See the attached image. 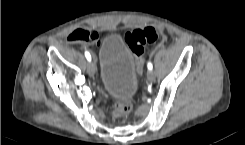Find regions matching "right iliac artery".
<instances>
[{
    "mask_svg": "<svg viewBox=\"0 0 245 145\" xmlns=\"http://www.w3.org/2000/svg\"><path fill=\"white\" fill-rule=\"evenodd\" d=\"M85 56H86L87 60L90 62L91 61V55H90V53L86 51L85 52Z\"/></svg>",
    "mask_w": 245,
    "mask_h": 145,
    "instance_id": "1",
    "label": "right iliac artery"
}]
</instances>
